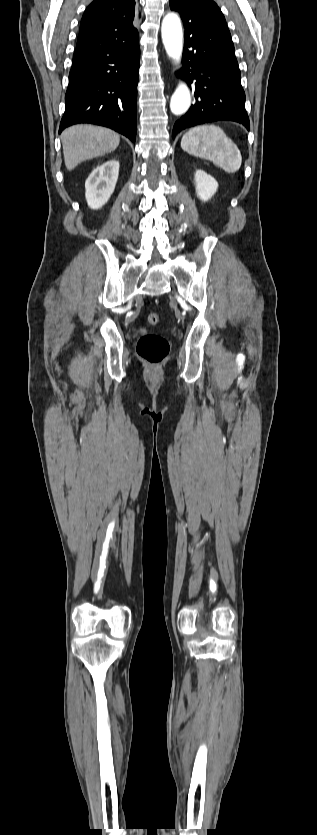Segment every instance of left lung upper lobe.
<instances>
[{"label": "left lung upper lobe", "mask_w": 317, "mask_h": 835, "mask_svg": "<svg viewBox=\"0 0 317 835\" xmlns=\"http://www.w3.org/2000/svg\"><path fill=\"white\" fill-rule=\"evenodd\" d=\"M171 10H177L184 28L193 27L195 22L209 21L227 27L225 18L212 0H169Z\"/></svg>", "instance_id": "left-lung-upper-lobe-1"}]
</instances>
